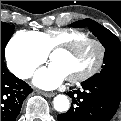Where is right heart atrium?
<instances>
[{
    "instance_id": "d8ad5b80",
    "label": "right heart atrium",
    "mask_w": 121,
    "mask_h": 121,
    "mask_svg": "<svg viewBox=\"0 0 121 121\" xmlns=\"http://www.w3.org/2000/svg\"><path fill=\"white\" fill-rule=\"evenodd\" d=\"M5 55L11 71L22 78L29 76L46 58L36 40L21 32L10 39Z\"/></svg>"
}]
</instances>
